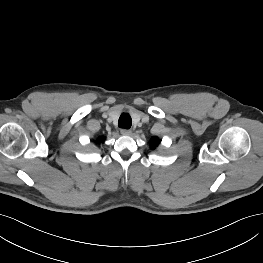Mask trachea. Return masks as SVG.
Instances as JSON below:
<instances>
[{
    "instance_id": "1",
    "label": "trachea",
    "mask_w": 263,
    "mask_h": 263,
    "mask_svg": "<svg viewBox=\"0 0 263 263\" xmlns=\"http://www.w3.org/2000/svg\"><path fill=\"white\" fill-rule=\"evenodd\" d=\"M132 125V119L129 114L123 113L119 117L118 126L121 128L129 129Z\"/></svg>"
}]
</instances>
